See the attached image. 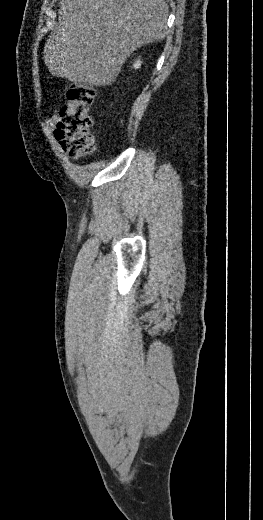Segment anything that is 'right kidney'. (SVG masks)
Listing matches in <instances>:
<instances>
[{"label": "right kidney", "mask_w": 263, "mask_h": 520, "mask_svg": "<svg viewBox=\"0 0 263 520\" xmlns=\"http://www.w3.org/2000/svg\"><path fill=\"white\" fill-rule=\"evenodd\" d=\"M140 66H141V61H140V60H137V61L133 64V67H134L135 69L140 68Z\"/></svg>", "instance_id": "1"}]
</instances>
